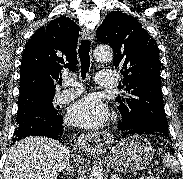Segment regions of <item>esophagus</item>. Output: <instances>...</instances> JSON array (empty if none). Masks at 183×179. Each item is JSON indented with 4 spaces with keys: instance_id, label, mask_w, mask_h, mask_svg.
Instances as JSON below:
<instances>
[{
    "instance_id": "1",
    "label": "esophagus",
    "mask_w": 183,
    "mask_h": 179,
    "mask_svg": "<svg viewBox=\"0 0 183 179\" xmlns=\"http://www.w3.org/2000/svg\"><path fill=\"white\" fill-rule=\"evenodd\" d=\"M82 37L84 39H93V32L89 29H83ZM114 137L112 134L107 132H95V133H87L81 134L78 138V144L85 151L90 153H99L103 149L110 146L113 142Z\"/></svg>"
}]
</instances>
